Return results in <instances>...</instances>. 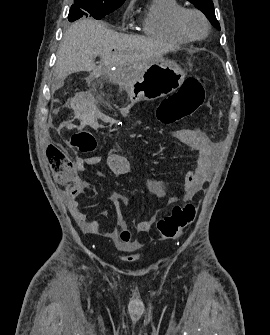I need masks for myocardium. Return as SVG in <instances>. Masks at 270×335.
Segmentation results:
<instances>
[{
    "mask_svg": "<svg viewBox=\"0 0 270 335\" xmlns=\"http://www.w3.org/2000/svg\"><path fill=\"white\" fill-rule=\"evenodd\" d=\"M196 14L198 15L202 21L204 22L205 25V33L203 36L201 37H194L192 36L189 31L186 29L185 26V18L188 14ZM175 24L177 29L179 30V32L184 35L185 37H187L190 40H202L205 39L209 33H210V24L206 18V16L199 10L196 9H183L181 12H179L175 18Z\"/></svg>",
    "mask_w": 270,
    "mask_h": 335,
    "instance_id": "obj_1",
    "label": "myocardium"
}]
</instances>
